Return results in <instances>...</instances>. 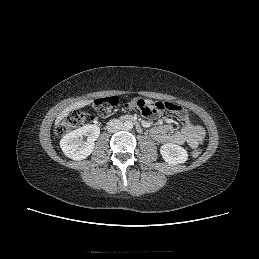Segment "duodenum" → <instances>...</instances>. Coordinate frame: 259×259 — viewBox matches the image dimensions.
Segmentation results:
<instances>
[{
  "label": "duodenum",
  "instance_id": "obj_1",
  "mask_svg": "<svg viewBox=\"0 0 259 259\" xmlns=\"http://www.w3.org/2000/svg\"><path fill=\"white\" fill-rule=\"evenodd\" d=\"M121 120L133 122L137 125L138 130H141V127L139 126L136 119L132 115H124L121 117Z\"/></svg>",
  "mask_w": 259,
  "mask_h": 259
}]
</instances>
